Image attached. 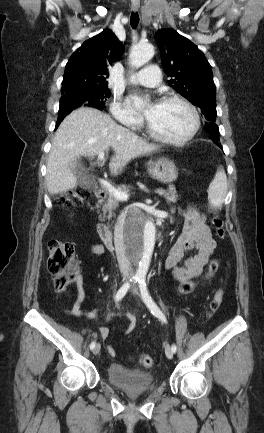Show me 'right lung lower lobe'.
Wrapping results in <instances>:
<instances>
[{"label": "right lung lower lobe", "mask_w": 264, "mask_h": 433, "mask_svg": "<svg viewBox=\"0 0 264 433\" xmlns=\"http://www.w3.org/2000/svg\"><path fill=\"white\" fill-rule=\"evenodd\" d=\"M63 119H64V118H63ZM63 119H59V120H57V123H56V129H57V127L59 126V124L61 123V121H62Z\"/></svg>", "instance_id": "obj_1"}]
</instances>
